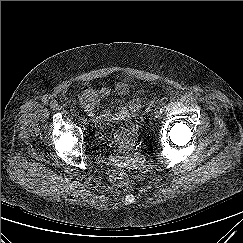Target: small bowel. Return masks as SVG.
Listing matches in <instances>:
<instances>
[{"instance_id":"small-bowel-1","label":"small bowel","mask_w":243,"mask_h":243,"mask_svg":"<svg viewBox=\"0 0 243 243\" xmlns=\"http://www.w3.org/2000/svg\"><path fill=\"white\" fill-rule=\"evenodd\" d=\"M129 91L126 83L118 82L114 86V92L118 95H125ZM111 89L107 86L92 88L85 86L79 96V102L92 121L101 128L103 124H113L117 137L127 141L135 130L133 123L134 115L140 110L142 100L139 94L132 96L128 102L115 111L98 112L102 100L107 99Z\"/></svg>"}]
</instances>
